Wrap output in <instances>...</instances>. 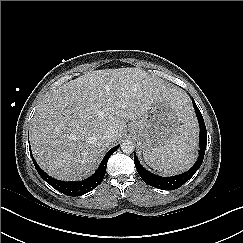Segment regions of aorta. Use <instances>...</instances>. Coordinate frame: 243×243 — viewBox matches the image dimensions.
Returning <instances> with one entry per match:
<instances>
[{
  "label": "aorta",
  "instance_id": "762f6f07",
  "mask_svg": "<svg viewBox=\"0 0 243 243\" xmlns=\"http://www.w3.org/2000/svg\"><path fill=\"white\" fill-rule=\"evenodd\" d=\"M134 143L130 140H126L121 144V150L123 153L130 154L134 151Z\"/></svg>",
  "mask_w": 243,
  "mask_h": 243
}]
</instances>
